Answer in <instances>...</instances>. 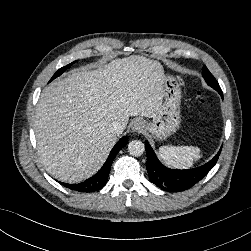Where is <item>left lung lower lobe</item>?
<instances>
[{"instance_id": "obj_1", "label": "left lung lower lobe", "mask_w": 251, "mask_h": 251, "mask_svg": "<svg viewBox=\"0 0 251 251\" xmlns=\"http://www.w3.org/2000/svg\"><path fill=\"white\" fill-rule=\"evenodd\" d=\"M223 98L220 87L214 88ZM147 153L146 169L149 174L150 181L157 187L166 191H184L193 187L198 183L216 164L220 151L206 164L188 170H174L162 165L150 144L145 142Z\"/></svg>"}]
</instances>
